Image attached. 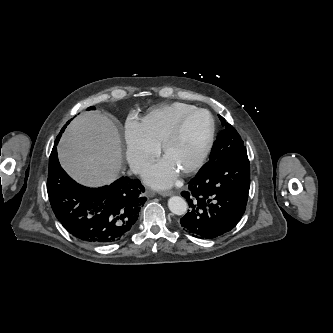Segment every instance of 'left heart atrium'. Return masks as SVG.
I'll use <instances>...</instances> for the list:
<instances>
[{"label":"left heart atrium","instance_id":"1","mask_svg":"<svg viewBox=\"0 0 333 333\" xmlns=\"http://www.w3.org/2000/svg\"><path fill=\"white\" fill-rule=\"evenodd\" d=\"M177 170L166 160H162L146 170L144 178L154 188H166L173 184Z\"/></svg>","mask_w":333,"mask_h":333}]
</instances>
